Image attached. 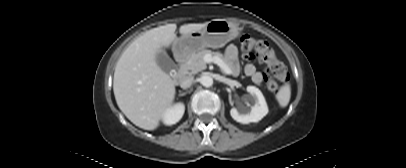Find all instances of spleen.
<instances>
[{"instance_id": "obj_1", "label": "spleen", "mask_w": 406, "mask_h": 168, "mask_svg": "<svg viewBox=\"0 0 406 168\" xmlns=\"http://www.w3.org/2000/svg\"><path fill=\"white\" fill-rule=\"evenodd\" d=\"M290 98H291V87L287 83L279 89V91L276 94V99L279 105L282 108H284L288 105Z\"/></svg>"}]
</instances>
